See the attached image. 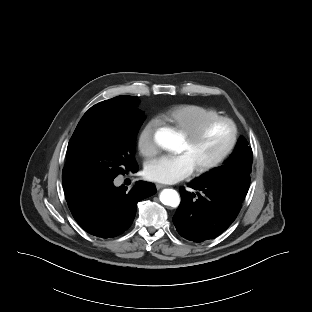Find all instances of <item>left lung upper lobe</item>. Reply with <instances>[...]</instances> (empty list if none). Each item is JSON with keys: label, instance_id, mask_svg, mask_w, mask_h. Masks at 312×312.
<instances>
[{"label": "left lung upper lobe", "instance_id": "5c2ea615", "mask_svg": "<svg viewBox=\"0 0 312 312\" xmlns=\"http://www.w3.org/2000/svg\"><path fill=\"white\" fill-rule=\"evenodd\" d=\"M252 167V149L246 139L241 137L230 158L221 167L201 176L197 180L213 181L228 185L234 192L245 198Z\"/></svg>", "mask_w": 312, "mask_h": 312}]
</instances>
